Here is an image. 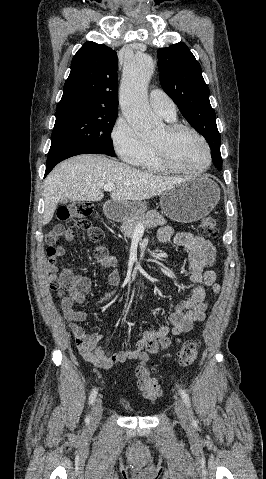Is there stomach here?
Segmentation results:
<instances>
[{
	"label": "stomach",
	"mask_w": 266,
	"mask_h": 479,
	"mask_svg": "<svg viewBox=\"0 0 266 479\" xmlns=\"http://www.w3.org/2000/svg\"><path fill=\"white\" fill-rule=\"evenodd\" d=\"M220 199L218 185L208 176L189 178L161 194L162 212L171 220L180 223L198 221L208 215ZM106 216L122 221L143 214L145 202H109L104 206Z\"/></svg>",
	"instance_id": "stomach-1"
}]
</instances>
